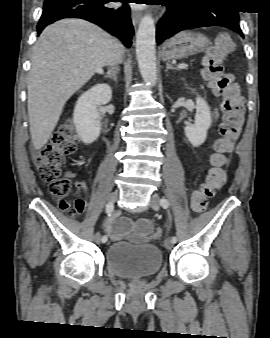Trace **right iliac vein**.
<instances>
[{
	"mask_svg": "<svg viewBox=\"0 0 270 338\" xmlns=\"http://www.w3.org/2000/svg\"><path fill=\"white\" fill-rule=\"evenodd\" d=\"M118 198V193L117 192H113L108 196V201L111 203H114ZM94 241L99 244L101 241V237L99 233H96L93 237Z\"/></svg>",
	"mask_w": 270,
	"mask_h": 338,
	"instance_id": "1",
	"label": "right iliac vein"
}]
</instances>
